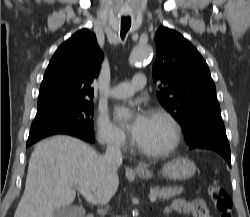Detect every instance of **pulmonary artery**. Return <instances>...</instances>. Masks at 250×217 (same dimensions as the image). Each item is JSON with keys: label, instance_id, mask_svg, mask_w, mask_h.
<instances>
[{"label": "pulmonary artery", "instance_id": "1", "mask_svg": "<svg viewBox=\"0 0 250 217\" xmlns=\"http://www.w3.org/2000/svg\"><path fill=\"white\" fill-rule=\"evenodd\" d=\"M145 86L146 76L143 73H139L132 78L131 82H122L109 89L107 95L116 99L128 98Z\"/></svg>", "mask_w": 250, "mask_h": 217}]
</instances>
